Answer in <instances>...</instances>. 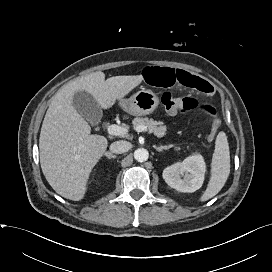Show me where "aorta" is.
<instances>
[{
    "instance_id": "aorta-1",
    "label": "aorta",
    "mask_w": 272,
    "mask_h": 272,
    "mask_svg": "<svg viewBox=\"0 0 272 272\" xmlns=\"http://www.w3.org/2000/svg\"><path fill=\"white\" fill-rule=\"evenodd\" d=\"M149 152L145 148H138L134 152V158L138 162H145L148 160Z\"/></svg>"
}]
</instances>
